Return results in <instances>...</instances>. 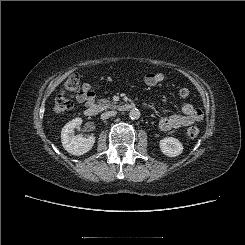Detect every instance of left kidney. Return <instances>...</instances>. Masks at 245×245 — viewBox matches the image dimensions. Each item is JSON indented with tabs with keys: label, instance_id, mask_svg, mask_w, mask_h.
Returning a JSON list of instances; mask_svg holds the SVG:
<instances>
[{
	"label": "left kidney",
	"instance_id": "obj_1",
	"mask_svg": "<svg viewBox=\"0 0 245 245\" xmlns=\"http://www.w3.org/2000/svg\"><path fill=\"white\" fill-rule=\"evenodd\" d=\"M159 146L161 152L169 157H175L183 152L182 143L174 137H165L160 140Z\"/></svg>",
	"mask_w": 245,
	"mask_h": 245
}]
</instances>
